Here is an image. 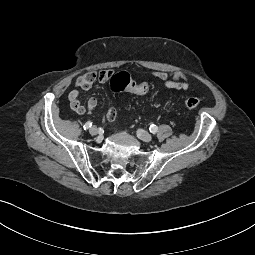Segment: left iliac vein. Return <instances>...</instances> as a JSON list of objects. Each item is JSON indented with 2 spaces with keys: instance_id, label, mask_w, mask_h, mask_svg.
Segmentation results:
<instances>
[{
  "instance_id": "4c4485c4",
  "label": "left iliac vein",
  "mask_w": 255,
  "mask_h": 255,
  "mask_svg": "<svg viewBox=\"0 0 255 255\" xmlns=\"http://www.w3.org/2000/svg\"><path fill=\"white\" fill-rule=\"evenodd\" d=\"M137 136L144 142H150L152 140V135L144 131L143 129L137 130Z\"/></svg>"
}]
</instances>
